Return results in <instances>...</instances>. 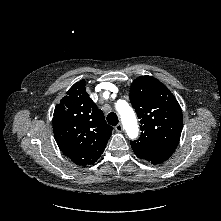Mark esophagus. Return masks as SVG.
<instances>
[{
  "label": "esophagus",
  "mask_w": 221,
  "mask_h": 221,
  "mask_svg": "<svg viewBox=\"0 0 221 221\" xmlns=\"http://www.w3.org/2000/svg\"><path fill=\"white\" fill-rule=\"evenodd\" d=\"M115 130H116L117 132H122V131H123V126H122V124L119 123L118 125H116V126H115Z\"/></svg>",
  "instance_id": "34e87169"
}]
</instances>
